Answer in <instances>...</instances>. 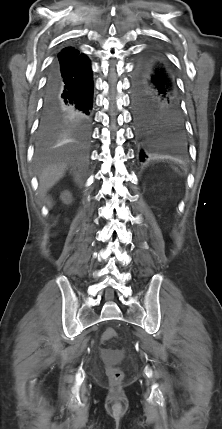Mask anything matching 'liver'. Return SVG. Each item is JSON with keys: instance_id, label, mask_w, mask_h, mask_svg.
Returning <instances> with one entry per match:
<instances>
[{"instance_id": "liver-1", "label": "liver", "mask_w": 222, "mask_h": 429, "mask_svg": "<svg viewBox=\"0 0 222 429\" xmlns=\"http://www.w3.org/2000/svg\"><path fill=\"white\" fill-rule=\"evenodd\" d=\"M65 174V164H54L42 170L39 176V190L44 195Z\"/></svg>"}]
</instances>
